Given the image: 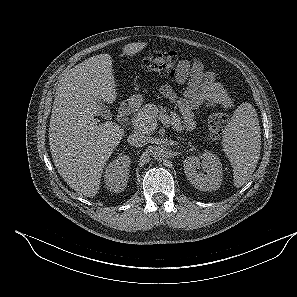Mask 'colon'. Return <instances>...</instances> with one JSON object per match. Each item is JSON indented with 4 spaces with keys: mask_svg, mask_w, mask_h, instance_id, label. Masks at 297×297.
Masks as SVG:
<instances>
[{
    "mask_svg": "<svg viewBox=\"0 0 297 297\" xmlns=\"http://www.w3.org/2000/svg\"><path fill=\"white\" fill-rule=\"evenodd\" d=\"M178 62L179 55L174 51L155 52L144 57L140 61V66L146 71H152L170 77L174 74ZM227 125L228 117L222 112H214L208 117L207 128L213 137L221 136Z\"/></svg>",
    "mask_w": 297,
    "mask_h": 297,
    "instance_id": "5ec220e1",
    "label": "colon"
}]
</instances>
